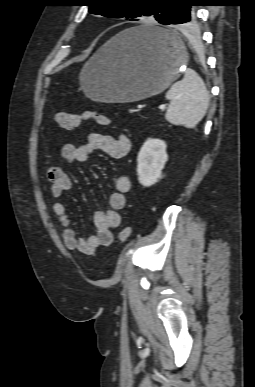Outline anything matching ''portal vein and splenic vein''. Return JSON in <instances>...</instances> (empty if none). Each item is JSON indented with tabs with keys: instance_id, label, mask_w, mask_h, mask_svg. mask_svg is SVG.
I'll return each mask as SVG.
<instances>
[{
	"instance_id": "1",
	"label": "portal vein and splenic vein",
	"mask_w": 255,
	"mask_h": 387,
	"mask_svg": "<svg viewBox=\"0 0 255 387\" xmlns=\"http://www.w3.org/2000/svg\"><path fill=\"white\" fill-rule=\"evenodd\" d=\"M165 107H166V106L162 104V105L159 106V109H160V110H164Z\"/></svg>"
}]
</instances>
